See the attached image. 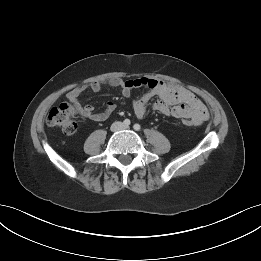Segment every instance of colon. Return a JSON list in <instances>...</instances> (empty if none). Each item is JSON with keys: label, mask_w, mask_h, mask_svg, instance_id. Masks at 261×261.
Masks as SVG:
<instances>
[{"label": "colon", "mask_w": 261, "mask_h": 261, "mask_svg": "<svg viewBox=\"0 0 261 261\" xmlns=\"http://www.w3.org/2000/svg\"><path fill=\"white\" fill-rule=\"evenodd\" d=\"M182 122L187 126L193 125L190 119H183ZM47 123L67 135L75 133L77 130L75 108L69 103H61L53 107L48 114Z\"/></svg>", "instance_id": "1"}]
</instances>
